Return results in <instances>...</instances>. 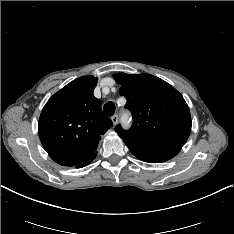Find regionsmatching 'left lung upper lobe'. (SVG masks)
Wrapping results in <instances>:
<instances>
[{
	"mask_svg": "<svg viewBox=\"0 0 234 234\" xmlns=\"http://www.w3.org/2000/svg\"><path fill=\"white\" fill-rule=\"evenodd\" d=\"M114 78L121 84L119 92L133 115L130 130L115 127L125 144L180 150L191 132V115L183 96L153 75L118 73Z\"/></svg>",
	"mask_w": 234,
	"mask_h": 234,
	"instance_id": "1",
	"label": "left lung upper lobe"
}]
</instances>
